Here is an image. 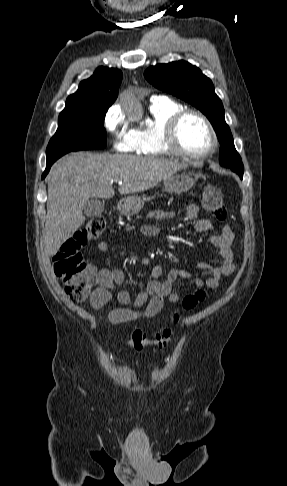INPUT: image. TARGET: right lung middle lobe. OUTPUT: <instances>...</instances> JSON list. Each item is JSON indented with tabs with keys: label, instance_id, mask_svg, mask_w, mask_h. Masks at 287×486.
Here are the masks:
<instances>
[{
	"label": "right lung middle lobe",
	"instance_id": "obj_1",
	"mask_svg": "<svg viewBox=\"0 0 287 486\" xmlns=\"http://www.w3.org/2000/svg\"><path fill=\"white\" fill-rule=\"evenodd\" d=\"M108 108L109 105L102 104L65 107L47 146V163L71 151L105 148L104 118Z\"/></svg>",
	"mask_w": 287,
	"mask_h": 486
}]
</instances>
